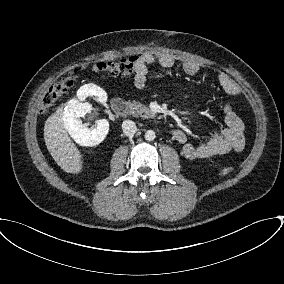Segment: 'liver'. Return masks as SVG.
<instances>
[{
    "instance_id": "6515ba94",
    "label": "liver",
    "mask_w": 284,
    "mask_h": 284,
    "mask_svg": "<svg viewBox=\"0 0 284 284\" xmlns=\"http://www.w3.org/2000/svg\"><path fill=\"white\" fill-rule=\"evenodd\" d=\"M44 140L49 153L61 169L73 174L82 170V156L64 125L63 107L58 108L46 120Z\"/></svg>"
}]
</instances>
